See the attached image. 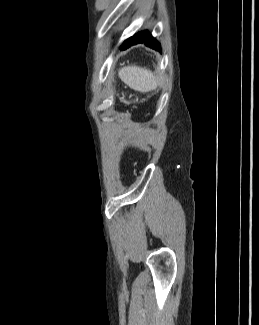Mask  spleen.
<instances>
[{
    "label": "spleen",
    "instance_id": "1",
    "mask_svg": "<svg viewBox=\"0 0 259 325\" xmlns=\"http://www.w3.org/2000/svg\"><path fill=\"white\" fill-rule=\"evenodd\" d=\"M119 78L131 89L149 92L157 87V79L149 69L139 66H125L118 72Z\"/></svg>",
    "mask_w": 259,
    "mask_h": 325
}]
</instances>
